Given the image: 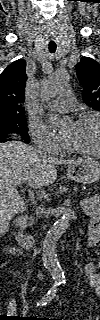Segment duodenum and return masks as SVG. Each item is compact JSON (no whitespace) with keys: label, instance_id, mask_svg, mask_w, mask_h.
<instances>
[{"label":"duodenum","instance_id":"obj_1","mask_svg":"<svg viewBox=\"0 0 100 320\" xmlns=\"http://www.w3.org/2000/svg\"><path fill=\"white\" fill-rule=\"evenodd\" d=\"M26 218L20 217L16 220V226L18 228V233L16 239L24 248H31L34 245V237L26 232Z\"/></svg>","mask_w":100,"mask_h":320}]
</instances>
